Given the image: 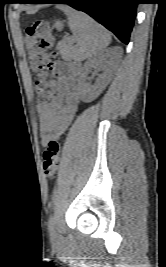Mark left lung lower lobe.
I'll return each instance as SVG.
<instances>
[{
	"label": "left lung lower lobe",
	"instance_id": "left-lung-lower-lobe-1",
	"mask_svg": "<svg viewBox=\"0 0 166 267\" xmlns=\"http://www.w3.org/2000/svg\"><path fill=\"white\" fill-rule=\"evenodd\" d=\"M20 3H63L81 10L128 44L138 0H23Z\"/></svg>",
	"mask_w": 166,
	"mask_h": 267
}]
</instances>
